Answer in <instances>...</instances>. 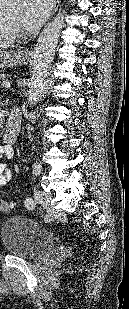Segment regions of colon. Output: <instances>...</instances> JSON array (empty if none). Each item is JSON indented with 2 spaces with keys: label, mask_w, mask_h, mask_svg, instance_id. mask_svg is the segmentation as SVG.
<instances>
[{
  "label": "colon",
  "mask_w": 129,
  "mask_h": 309,
  "mask_svg": "<svg viewBox=\"0 0 129 309\" xmlns=\"http://www.w3.org/2000/svg\"><path fill=\"white\" fill-rule=\"evenodd\" d=\"M15 207L13 202H8L3 199H0V212L1 213H9Z\"/></svg>",
  "instance_id": "5ec220e1"
}]
</instances>
